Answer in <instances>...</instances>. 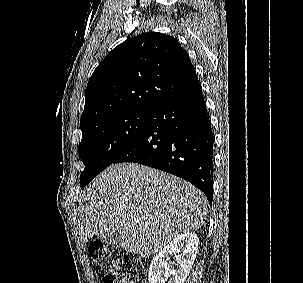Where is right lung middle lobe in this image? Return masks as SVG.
I'll return each mask as SVG.
<instances>
[{
    "instance_id": "right-lung-middle-lobe-1",
    "label": "right lung middle lobe",
    "mask_w": 303,
    "mask_h": 283,
    "mask_svg": "<svg viewBox=\"0 0 303 283\" xmlns=\"http://www.w3.org/2000/svg\"><path fill=\"white\" fill-rule=\"evenodd\" d=\"M154 112L132 110L102 119L82 131L79 156L85 168L81 187L112 164L145 131Z\"/></svg>"
}]
</instances>
